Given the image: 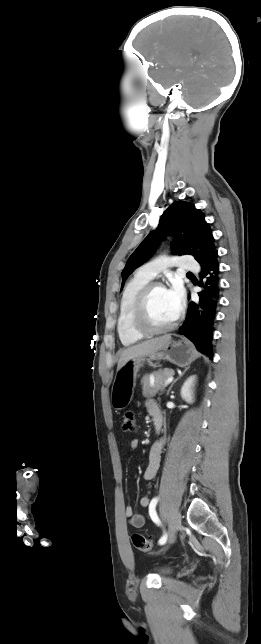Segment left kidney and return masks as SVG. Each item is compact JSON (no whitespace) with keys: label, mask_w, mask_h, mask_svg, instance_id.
Here are the masks:
<instances>
[{"label":"left kidney","mask_w":261,"mask_h":644,"mask_svg":"<svg viewBox=\"0 0 261 644\" xmlns=\"http://www.w3.org/2000/svg\"><path fill=\"white\" fill-rule=\"evenodd\" d=\"M196 380V376H190L183 384L181 388V397L188 403L193 402V387Z\"/></svg>","instance_id":"obj_1"}]
</instances>
